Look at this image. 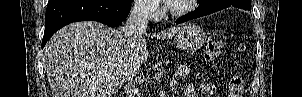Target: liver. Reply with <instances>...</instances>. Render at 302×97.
I'll return each mask as SVG.
<instances>
[{
  "label": "liver",
  "mask_w": 302,
  "mask_h": 97,
  "mask_svg": "<svg viewBox=\"0 0 302 97\" xmlns=\"http://www.w3.org/2000/svg\"><path fill=\"white\" fill-rule=\"evenodd\" d=\"M180 29L171 27L153 37L168 39ZM146 37L132 40L122 28L92 21L63 27L44 48L52 97H112L130 71L135 76L147 61Z\"/></svg>",
  "instance_id": "liver-1"
}]
</instances>
